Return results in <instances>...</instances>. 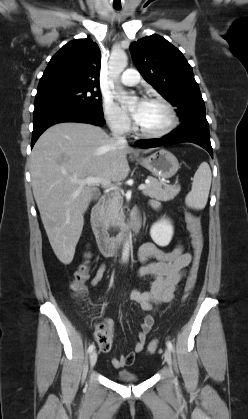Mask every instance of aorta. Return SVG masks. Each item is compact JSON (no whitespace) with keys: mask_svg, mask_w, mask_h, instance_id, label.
<instances>
[{"mask_svg":"<svg viewBox=\"0 0 248 419\" xmlns=\"http://www.w3.org/2000/svg\"><path fill=\"white\" fill-rule=\"evenodd\" d=\"M128 64V57L124 52L112 53L109 59V73L112 79L115 81L118 80L120 74L124 71ZM119 91H122L121 87H118ZM136 98L133 99L131 103H135ZM130 249V238L126 240V243L123 247L122 259L127 261L129 257Z\"/></svg>","mask_w":248,"mask_h":419,"instance_id":"obj_1","label":"aorta"}]
</instances>
